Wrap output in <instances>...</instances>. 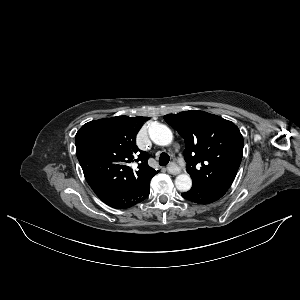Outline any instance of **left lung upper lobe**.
Wrapping results in <instances>:
<instances>
[{
    "instance_id": "1",
    "label": "left lung upper lobe",
    "mask_w": 300,
    "mask_h": 300,
    "mask_svg": "<svg viewBox=\"0 0 300 300\" xmlns=\"http://www.w3.org/2000/svg\"><path fill=\"white\" fill-rule=\"evenodd\" d=\"M185 140L184 158L193 186L225 192L235 179L243 137L231 121L190 110L164 116Z\"/></svg>"
}]
</instances>
